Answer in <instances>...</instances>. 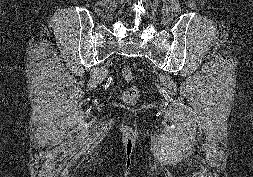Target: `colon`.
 I'll list each match as a JSON object with an SVG mask.
<instances>
[{
  "label": "colon",
  "mask_w": 253,
  "mask_h": 177,
  "mask_svg": "<svg viewBox=\"0 0 253 177\" xmlns=\"http://www.w3.org/2000/svg\"><path fill=\"white\" fill-rule=\"evenodd\" d=\"M121 74L124 80L130 83V86L123 92V100L127 104H134L140 96V90L138 86L133 84L134 73L130 67L124 66L121 69Z\"/></svg>",
  "instance_id": "obj_1"
}]
</instances>
